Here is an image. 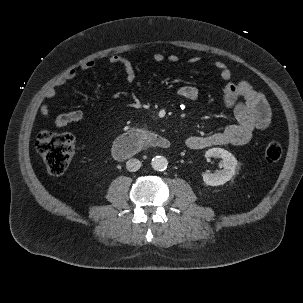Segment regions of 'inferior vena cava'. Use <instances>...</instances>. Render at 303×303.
<instances>
[{
  "label": "inferior vena cava",
  "mask_w": 303,
  "mask_h": 303,
  "mask_svg": "<svg viewBox=\"0 0 303 303\" xmlns=\"http://www.w3.org/2000/svg\"><path fill=\"white\" fill-rule=\"evenodd\" d=\"M141 166H142V163L138 159H129L126 162V168L130 172L137 171L138 169H140Z\"/></svg>",
  "instance_id": "1"
}]
</instances>
